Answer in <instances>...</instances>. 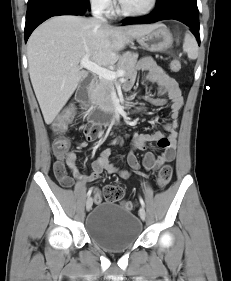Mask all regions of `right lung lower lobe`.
Instances as JSON below:
<instances>
[{"mask_svg":"<svg viewBox=\"0 0 231 281\" xmlns=\"http://www.w3.org/2000/svg\"><path fill=\"white\" fill-rule=\"evenodd\" d=\"M89 9V0H29L25 24V42L33 30L52 16L82 15Z\"/></svg>","mask_w":231,"mask_h":281,"instance_id":"98d812e1","label":"right lung lower lobe"}]
</instances>
